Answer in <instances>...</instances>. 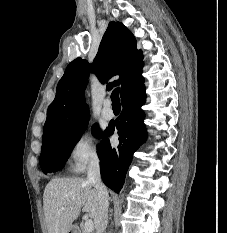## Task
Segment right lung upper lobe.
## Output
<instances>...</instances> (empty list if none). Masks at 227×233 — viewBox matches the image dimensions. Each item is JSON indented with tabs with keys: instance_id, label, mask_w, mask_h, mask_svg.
Returning <instances> with one entry per match:
<instances>
[{
	"instance_id": "obj_1",
	"label": "right lung upper lobe",
	"mask_w": 227,
	"mask_h": 233,
	"mask_svg": "<svg viewBox=\"0 0 227 233\" xmlns=\"http://www.w3.org/2000/svg\"><path fill=\"white\" fill-rule=\"evenodd\" d=\"M142 59L133 34L122 23L110 22L93 64L77 58L67 66L57 85L56 97L47 110L42 143L87 123L84 89L89 72L95 73L102 83L120 75L118 80L107 84V90L121 85L122 100L144 86Z\"/></svg>"
}]
</instances>
